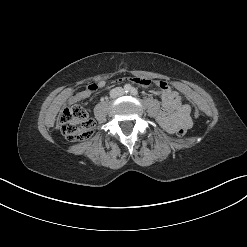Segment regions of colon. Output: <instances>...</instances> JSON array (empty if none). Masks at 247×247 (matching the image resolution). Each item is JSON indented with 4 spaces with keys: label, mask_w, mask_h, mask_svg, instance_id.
I'll list each match as a JSON object with an SVG mask.
<instances>
[{
    "label": "colon",
    "mask_w": 247,
    "mask_h": 247,
    "mask_svg": "<svg viewBox=\"0 0 247 247\" xmlns=\"http://www.w3.org/2000/svg\"><path fill=\"white\" fill-rule=\"evenodd\" d=\"M59 125L62 134L69 141H84L91 137L94 129V122L86 111L79 105L66 108L60 117ZM187 129H177L178 136H184Z\"/></svg>",
    "instance_id": "1"
}]
</instances>
